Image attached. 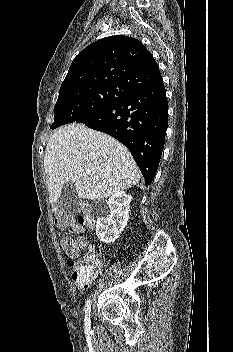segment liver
Segmentation results:
<instances>
[{"label":"liver","instance_id":"liver-1","mask_svg":"<svg viewBox=\"0 0 233 352\" xmlns=\"http://www.w3.org/2000/svg\"><path fill=\"white\" fill-rule=\"evenodd\" d=\"M44 168L52 205L59 201L62 188L69 181L74 183L79 198L96 200L129 189L140 179L139 169L123 144L76 123L51 135L45 148Z\"/></svg>","mask_w":233,"mask_h":352}]
</instances>
